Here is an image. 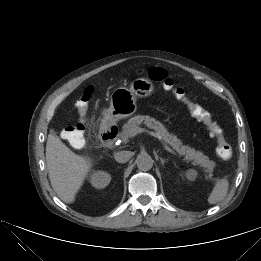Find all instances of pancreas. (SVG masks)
I'll return each instance as SVG.
<instances>
[{"instance_id": "pancreas-1", "label": "pancreas", "mask_w": 261, "mask_h": 261, "mask_svg": "<svg viewBox=\"0 0 261 261\" xmlns=\"http://www.w3.org/2000/svg\"><path fill=\"white\" fill-rule=\"evenodd\" d=\"M144 123L148 128L155 130V133L160 136L164 143L169 144L179 155H184L186 160H192L195 164L202 167L207 173L206 178H212L213 169L216 166L215 162L210 160L206 155L200 151L182 145L175 135L169 133L167 129L157 120L149 116L137 115L128 120L122 127L121 137L127 141L130 137V131L133 128L139 127Z\"/></svg>"}]
</instances>
